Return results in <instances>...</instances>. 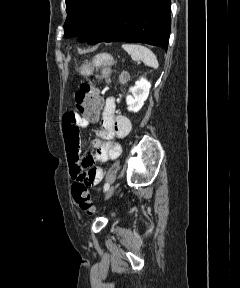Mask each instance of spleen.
Wrapping results in <instances>:
<instances>
[{
    "label": "spleen",
    "instance_id": "obj_1",
    "mask_svg": "<svg viewBox=\"0 0 240 288\" xmlns=\"http://www.w3.org/2000/svg\"><path fill=\"white\" fill-rule=\"evenodd\" d=\"M122 47L133 60H141L149 67L158 68L159 64L155 54L147 47L138 44H123Z\"/></svg>",
    "mask_w": 240,
    "mask_h": 288
}]
</instances>
